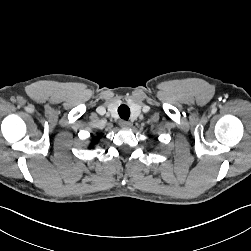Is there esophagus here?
I'll return each instance as SVG.
<instances>
[{
	"instance_id": "obj_1",
	"label": "esophagus",
	"mask_w": 251,
	"mask_h": 251,
	"mask_svg": "<svg viewBox=\"0 0 251 251\" xmlns=\"http://www.w3.org/2000/svg\"><path fill=\"white\" fill-rule=\"evenodd\" d=\"M119 124L123 128H129V127H131V123L128 122V121H126V120H121Z\"/></svg>"
}]
</instances>
